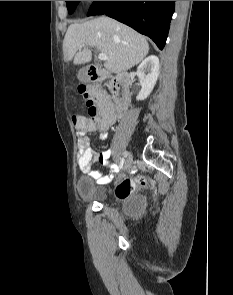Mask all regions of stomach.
Returning <instances> with one entry per match:
<instances>
[{
    "label": "stomach",
    "instance_id": "stomach-1",
    "mask_svg": "<svg viewBox=\"0 0 233 295\" xmlns=\"http://www.w3.org/2000/svg\"><path fill=\"white\" fill-rule=\"evenodd\" d=\"M78 78L81 81H87L88 80L87 74H86V72L84 70L79 71Z\"/></svg>",
    "mask_w": 233,
    "mask_h": 295
}]
</instances>
